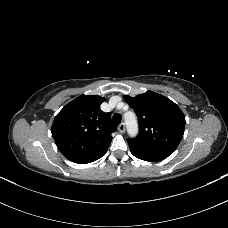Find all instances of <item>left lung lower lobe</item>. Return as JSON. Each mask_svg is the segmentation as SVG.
Masks as SVG:
<instances>
[{
    "label": "left lung lower lobe",
    "instance_id": "left-lung-lower-lobe-1",
    "mask_svg": "<svg viewBox=\"0 0 228 228\" xmlns=\"http://www.w3.org/2000/svg\"><path fill=\"white\" fill-rule=\"evenodd\" d=\"M129 147H130L131 153L135 157L149 162L161 161L170 155V153L163 152V151L140 149V148L133 147L131 145H129Z\"/></svg>",
    "mask_w": 228,
    "mask_h": 228
}]
</instances>
